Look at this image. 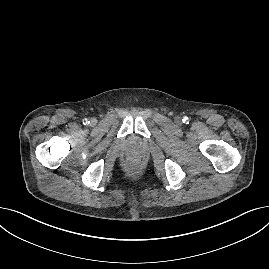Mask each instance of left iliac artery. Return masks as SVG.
Masks as SVG:
<instances>
[{"label": "left iliac artery", "instance_id": "1", "mask_svg": "<svg viewBox=\"0 0 269 269\" xmlns=\"http://www.w3.org/2000/svg\"><path fill=\"white\" fill-rule=\"evenodd\" d=\"M183 122H184V123H189V119H188V117H184V118H183Z\"/></svg>", "mask_w": 269, "mask_h": 269}]
</instances>
